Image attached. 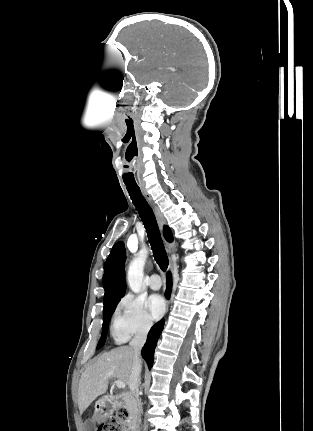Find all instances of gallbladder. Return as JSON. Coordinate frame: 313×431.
<instances>
[{
  "label": "gallbladder",
  "instance_id": "bac80fb5",
  "mask_svg": "<svg viewBox=\"0 0 313 431\" xmlns=\"http://www.w3.org/2000/svg\"><path fill=\"white\" fill-rule=\"evenodd\" d=\"M93 425H94V423H93L92 420H87V422H86V431H91Z\"/></svg>",
  "mask_w": 313,
  "mask_h": 431
}]
</instances>
